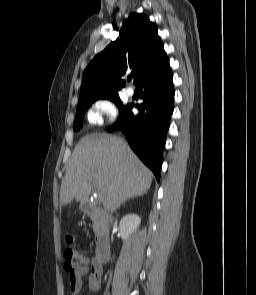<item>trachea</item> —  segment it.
Returning <instances> with one entry per match:
<instances>
[{
    "label": "trachea",
    "mask_w": 256,
    "mask_h": 295,
    "mask_svg": "<svg viewBox=\"0 0 256 295\" xmlns=\"http://www.w3.org/2000/svg\"><path fill=\"white\" fill-rule=\"evenodd\" d=\"M132 79V77H128V81H130Z\"/></svg>",
    "instance_id": "1"
}]
</instances>
